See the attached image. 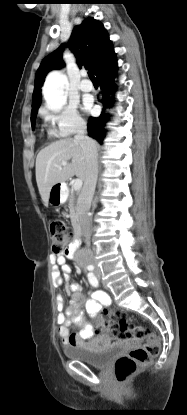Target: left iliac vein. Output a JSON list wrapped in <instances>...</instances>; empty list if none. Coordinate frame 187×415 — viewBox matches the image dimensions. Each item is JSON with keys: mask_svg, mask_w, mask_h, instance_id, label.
<instances>
[{"mask_svg": "<svg viewBox=\"0 0 187 415\" xmlns=\"http://www.w3.org/2000/svg\"><path fill=\"white\" fill-rule=\"evenodd\" d=\"M94 274H95L96 278L98 280H100V278H101V272H100V269L99 268H95Z\"/></svg>", "mask_w": 187, "mask_h": 415, "instance_id": "left-iliac-vein-1", "label": "left iliac vein"}]
</instances>
